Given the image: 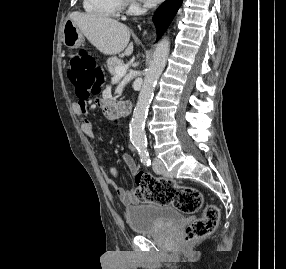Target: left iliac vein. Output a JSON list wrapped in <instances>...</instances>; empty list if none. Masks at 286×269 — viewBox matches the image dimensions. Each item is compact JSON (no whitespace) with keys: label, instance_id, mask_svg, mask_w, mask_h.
Masks as SVG:
<instances>
[{"label":"left iliac vein","instance_id":"1","mask_svg":"<svg viewBox=\"0 0 286 269\" xmlns=\"http://www.w3.org/2000/svg\"><path fill=\"white\" fill-rule=\"evenodd\" d=\"M153 169L158 174H162V175H165V176L167 175V171H166V168H165L164 164L158 158L154 159Z\"/></svg>","mask_w":286,"mask_h":269}]
</instances>
